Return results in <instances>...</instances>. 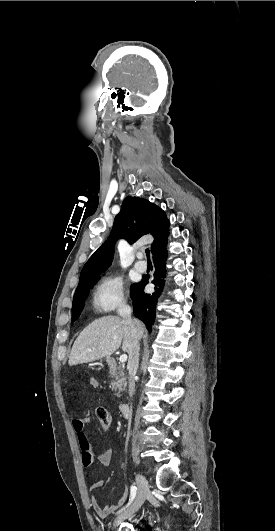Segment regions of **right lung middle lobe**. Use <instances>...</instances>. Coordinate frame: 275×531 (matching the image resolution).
Returning <instances> with one entry per match:
<instances>
[{"label": "right lung middle lobe", "mask_w": 275, "mask_h": 531, "mask_svg": "<svg viewBox=\"0 0 275 531\" xmlns=\"http://www.w3.org/2000/svg\"><path fill=\"white\" fill-rule=\"evenodd\" d=\"M98 277L89 279L81 287L76 290L73 298L72 304V322L77 320L80 316V313L84 306V301L87 298L89 288L93 287V284L96 283Z\"/></svg>", "instance_id": "1"}]
</instances>
